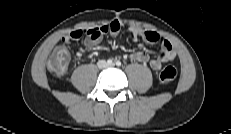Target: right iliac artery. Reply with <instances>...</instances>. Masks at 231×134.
<instances>
[{"mask_svg":"<svg viewBox=\"0 0 231 134\" xmlns=\"http://www.w3.org/2000/svg\"><path fill=\"white\" fill-rule=\"evenodd\" d=\"M107 63H108V64H112L113 61H112L111 59H109V60H107Z\"/></svg>","mask_w":231,"mask_h":134,"instance_id":"1","label":"right iliac artery"}]
</instances>
